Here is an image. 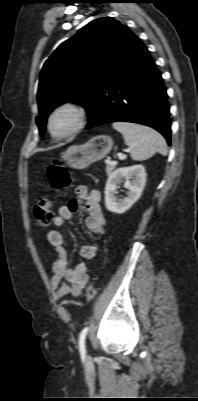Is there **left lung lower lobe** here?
Segmentation results:
<instances>
[{
	"mask_svg": "<svg viewBox=\"0 0 198 401\" xmlns=\"http://www.w3.org/2000/svg\"><path fill=\"white\" fill-rule=\"evenodd\" d=\"M88 116L86 129L116 121L139 123L159 131L171 144L163 79L138 38L105 81Z\"/></svg>",
	"mask_w": 198,
	"mask_h": 401,
	"instance_id": "1",
	"label": "left lung lower lobe"
}]
</instances>
